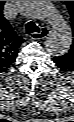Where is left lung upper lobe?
I'll list each match as a JSON object with an SVG mask.
<instances>
[{
  "label": "left lung upper lobe",
  "instance_id": "obj_1",
  "mask_svg": "<svg viewBox=\"0 0 74 122\" xmlns=\"http://www.w3.org/2000/svg\"><path fill=\"white\" fill-rule=\"evenodd\" d=\"M67 7L70 11L71 21H72V32L74 37V1H66ZM64 59L74 62V38L70 50L62 56Z\"/></svg>",
  "mask_w": 74,
  "mask_h": 122
}]
</instances>
